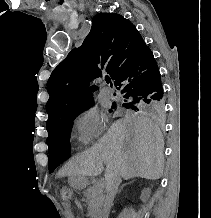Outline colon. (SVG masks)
I'll use <instances>...</instances> for the list:
<instances>
[{
  "mask_svg": "<svg viewBox=\"0 0 211 218\" xmlns=\"http://www.w3.org/2000/svg\"><path fill=\"white\" fill-rule=\"evenodd\" d=\"M60 196L63 200L69 201L72 198V192L68 187L63 186L60 188Z\"/></svg>",
  "mask_w": 211,
  "mask_h": 218,
  "instance_id": "5ec220e1",
  "label": "colon"
}]
</instances>
